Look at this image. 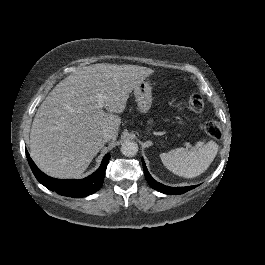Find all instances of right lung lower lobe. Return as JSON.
Returning a JSON list of instances; mask_svg holds the SVG:
<instances>
[{"mask_svg": "<svg viewBox=\"0 0 265 265\" xmlns=\"http://www.w3.org/2000/svg\"><path fill=\"white\" fill-rule=\"evenodd\" d=\"M26 156L32 172L41 184H43L47 189L56 192L57 194L73 198H82L93 194L100 189L103 184L105 170L110 159V154L105 155L100 167L92 175L84 179L62 180L49 177L41 172L30 158L27 150Z\"/></svg>", "mask_w": 265, "mask_h": 265, "instance_id": "1", "label": "right lung lower lobe"}]
</instances>
